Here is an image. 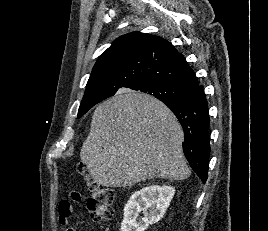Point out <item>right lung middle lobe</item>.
Returning <instances> with one entry per match:
<instances>
[{
  "instance_id": "right-lung-middle-lobe-1",
  "label": "right lung middle lobe",
  "mask_w": 268,
  "mask_h": 231,
  "mask_svg": "<svg viewBox=\"0 0 268 231\" xmlns=\"http://www.w3.org/2000/svg\"><path fill=\"white\" fill-rule=\"evenodd\" d=\"M131 89L143 92L149 95L156 97L157 99L163 101H183L187 99L191 92L171 86L167 83L160 82V81H142L134 85ZM95 104L86 102L80 104L79 111H78V118L82 117L91 107Z\"/></svg>"
}]
</instances>
